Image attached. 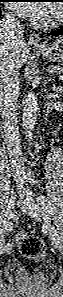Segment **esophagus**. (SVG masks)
Returning <instances> with one entry per match:
<instances>
[{"mask_svg":"<svg viewBox=\"0 0 63 297\" xmlns=\"http://www.w3.org/2000/svg\"><path fill=\"white\" fill-rule=\"evenodd\" d=\"M29 44L35 48H43L44 46L40 42V36L36 32H32L29 36Z\"/></svg>","mask_w":63,"mask_h":297,"instance_id":"obj_1","label":"esophagus"}]
</instances>
